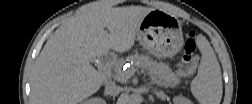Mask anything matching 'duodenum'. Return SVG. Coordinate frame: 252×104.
I'll use <instances>...</instances> for the list:
<instances>
[{
    "instance_id": "1",
    "label": "duodenum",
    "mask_w": 252,
    "mask_h": 104,
    "mask_svg": "<svg viewBox=\"0 0 252 104\" xmlns=\"http://www.w3.org/2000/svg\"><path fill=\"white\" fill-rule=\"evenodd\" d=\"M109 60H110V57L108 55H104L102 57V61H104V62H108Z\"/></svg>"
}]
</instances>
